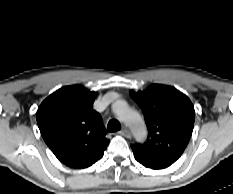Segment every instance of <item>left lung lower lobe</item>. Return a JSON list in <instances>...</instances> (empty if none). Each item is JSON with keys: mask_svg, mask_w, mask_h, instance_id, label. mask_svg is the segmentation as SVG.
Wrapping results in <instances>:
<instances>
[{"mask_svg": "<svg viewBox=\"0 0 233 194\" xmlns=\"http://www.w3.org/2000/svg\"><path fill=\"white\" fill-rule=\"evenodd\" d=\"M135 159L141 163L143 166L151 169H162L170 166L172 163L166 161H157V160H150L148 158H144L142 156H138L134 154Z\"/></svg>", "mask_w": 233, "mask_h": 194, "instance_id": "1", "label": "left lung lower lobe"}]
</instances>
